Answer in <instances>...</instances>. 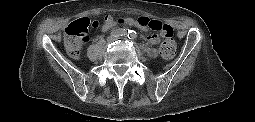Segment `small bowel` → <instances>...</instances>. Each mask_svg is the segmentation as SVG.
Segmentation results:
<instances>
[{"mask_svg": "<svg viewBox=\"0 0 255 122\" xmlns=\"http://www.w3.org/2000/svg\"><path fill=\"white\" fill-rule=\"evenodd\" d=\"M116 23L118 22H109V23H105L103 26H102V32H107L113 25H115ZM126 25H129V26H136V22H135V19H132V18H128V22L125 23ZM147 41L150 45H156L158 42H159V37L157 35H150L148 36L147 38Z\"/></svg>", "mask_w": 255, "mask_h": 122, "instance_id": "obj_1", "label": "small bowel"}]
</instances>
